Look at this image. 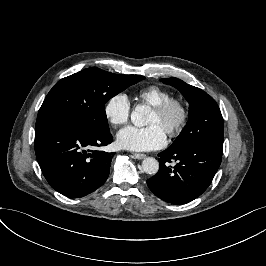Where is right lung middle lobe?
<instances>
[{
	"label": "right lung middle lobe",
	"mask_w": 266,
	"mask_h": 266,
	"mask_svg": "<svg viewBox=\"0 0 266 266\" xmlns=\"http://www.w3.org/2000/svg\"><path fill=\"white\" fill-rule=\"evenodd\" d=\"M144 78L118 75L96 67L65 77L46 96L35 128L56 120H68L94 132L110 131L105 103Z\"/></svg>",
	"instance_id": "dd1d6c3e"
}]
</instances>
